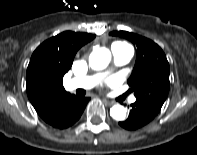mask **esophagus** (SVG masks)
<instances>
[{
  "mask_svg": "<svg viewBox=\"0 0 197 155\" xmlns=\"http://www.w3.org/2000/svg\"><path fill=\"white\" fill-rule=\"evenodd\" d=\"M103 102H104L106 105H108V106H112V105L114 104L113 101H109V100H107V99H103Z\"/></svg>",
  "mask_w": 197,
  "mask_h": 155,
  "instance_id": "1",
  "label": "esophagus"
}]
</instances>
